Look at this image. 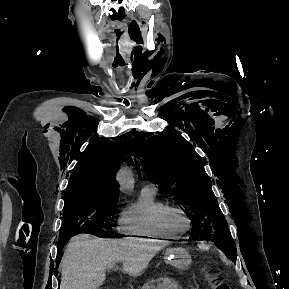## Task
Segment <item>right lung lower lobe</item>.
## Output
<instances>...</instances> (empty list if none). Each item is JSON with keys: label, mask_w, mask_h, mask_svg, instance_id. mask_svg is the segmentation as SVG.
Returning <instances> with one entry per match:
<instances>
[{"label": "right lung lower lobe", "mask_w": 289, "mask_h": 289, "mask_svg": "<svg viewBox=\"0 0 289 289\" xmlns=\"http://www.w3.org/2000/svg\"><path fill=\"white\" fill-rule=\"evenodd\" d=\"M64 241H61L59 240L58 243H57V246H58V250H57V258H56V263L58 264L60 261H61V257H60V253H61V250L63 248V245H64Z\"/></svg>", "instance_id": "98d812e1"}]
</instances>
